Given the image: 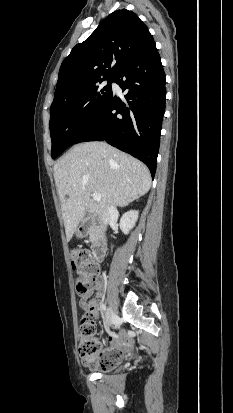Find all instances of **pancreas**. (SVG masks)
I'll list each match as a JSON object with an SVG mask.
<instances>
[{"mask_svg":"<svg viewBox=\"0 0 233 413\" xmlns=\"http://www.w3.org/2000/svg\"><path fill=\"white\" fill-rule=\"evenodd\" d=\"M89 239L92 243H94L97 239V231L95 229H91L89 232Z\"/></svg>","mask_w":233,"mask_h":413,"instance_id":"cf45deb5","label":"pancreas"}]
</instances>
